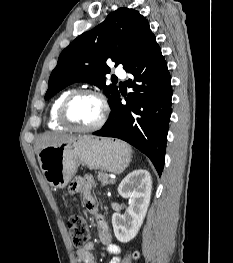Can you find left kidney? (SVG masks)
<instances>
[{"mask_svg": "<svg viewBox=\"0 0 233 263\" xmlns=\"http://www.w3.org/2000/svg\"><path fill=\"white\" fill-rule=\"evenodd\" d=\"M151 189V175L143 169L134 170L119 184L118 193L130 201L124 214L112 216L114 234L120 242L127 243L137 235L150 204Z\"/></svg>", "mask_w": 233, "mask_h": 263, "instance_id": "obj_1", "label": "left kidney"}]
</instances>
